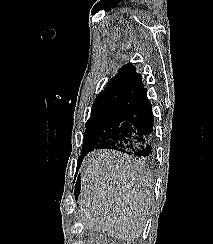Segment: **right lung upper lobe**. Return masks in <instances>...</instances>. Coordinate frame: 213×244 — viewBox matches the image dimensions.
<instances>
[{"instance_id": "right-lung-upper-lobe-1", "label": "right lung upper lobe", "mask_w": 213, "mask_h": 244, "mask_svg": "<svg viewBox=\"0 0 213 244\" xmlns=\"http://www.w3.org/2000/svg\"><path fill=\"white\" fill-rule=\"evenodd\" d=\"M144 88L141 75L136 72L132 64H128L119 69V72L108 81L96 100L119 95L137 97Z\"/></svg>"}]
</instances>
